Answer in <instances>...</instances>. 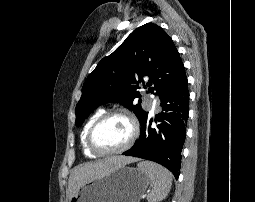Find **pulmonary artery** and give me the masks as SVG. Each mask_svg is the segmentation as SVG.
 I'll use <instances>...</instances> for the list:
<instances>
[{
	"label": "pulmonary artery",
	"instance_id": "pulmonary-artery-1",
	"mask_svg": "<svg viewBox=\"0 0 255 202\" xmlns=\"http://www.w3.org/2000/svg\"><path fill=\"white\" fill-rule=\"evenodd\" d=\"M147 106L152 110V111H157L159 109L158 102L155 100L149 101L147 103Z\"/></svg>",
	"mask_w": 255,
	"mask_h": 202
}]
</instances>
